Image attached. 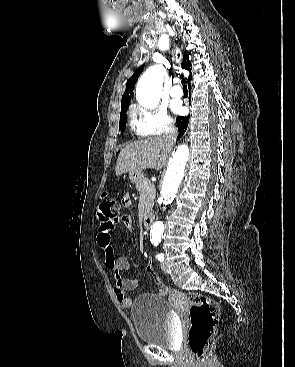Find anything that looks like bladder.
Segmentation results:
<instances>
[{"label": "bladder", "mask_w": 295, "mask_h": 367, "mask_svg": "<svg viewBox=\"0 0 295 367\" xmlns=\"http://www.w3.org/2000/svg\"><path fill=\"white\" fill-rule=\"evenodd\" d=\"M131 318L138 338L162 348H173L177 342L176 323L170 303L153 293L139 295L131 305Z\"/></svg>", "instance_id": "obj_1"}]
</instances>
